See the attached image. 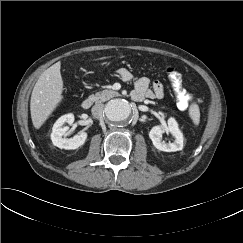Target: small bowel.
Returning <instances> with one entry per match:
<instances>
[{
	"instance_id": "small-bowel-1",
	"label": "small bowel",
	"mask_w": 243,
	"mask_h": 243,
	"mask_svg": "<svg viewBox=\"0 0 243 243\" xmlns=\"http://www.w3.org/2000/svg\"><path fill=\"white\" fill-rule=\"evenodd\" d=\"M117 74L126 82L133 80L132 73L125 68L119 69ZM164 94V87L159 81H153L151 83L147 77H141L135 82L132 98L135 101H141L143 99L163 98Z\"/></svg>"
}]
</instances>
